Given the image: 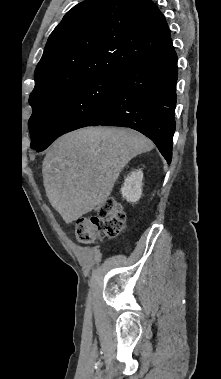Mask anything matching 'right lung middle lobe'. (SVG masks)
Instances as JSON below:
<instances>
[{
  "mask_svg": "<svg viewBox=\"0 0 221 379\" xmlns=\"http://www.w3.org/2000/svg\"><path fill=\"white\" fill-rule=\"evenodd\" d=\"M119 74H97L29 101L31 148H46L60 135L89 126L111 102Z\"/></svg>",
  "mask_w": 221,
  "mask_h": 379,
  "instance_id": "1",
  "label": "right lung middle lobe"
}]
</instances>
